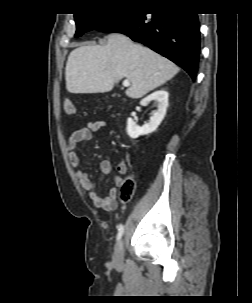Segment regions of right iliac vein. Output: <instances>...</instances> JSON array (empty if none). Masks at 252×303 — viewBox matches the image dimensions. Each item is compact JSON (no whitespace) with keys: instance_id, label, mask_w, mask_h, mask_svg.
<instances>
[{"instance_id":"right-iliac-vein-1","label":"right iliac vein","mask_w":252,"mask_h":303,"mask_svg":"<svg viewBox=\"0 0 252 303\" xmlns=\"http://www.w3.org/2000/svg\"><path fill=\"white\" fill-rule=\"evenodd\" d=\"M123 259H124V242L122 239H120L114 247L113 262L116 265H122Z\"/></svg>"}]
</instances>
